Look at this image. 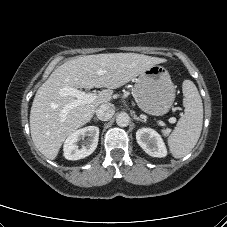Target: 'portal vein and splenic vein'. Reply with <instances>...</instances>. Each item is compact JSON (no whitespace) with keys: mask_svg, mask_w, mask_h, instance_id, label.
<instances>
[{"mask_svg":"<svg viewBox=\"0 0 227 227\" xmlns=\"http://www.w3.org/2000/svg\"><path fill=\"white\" fill-rule=\"evenodd\" d=\"M104 71L103 70H99L98 74L99 75H103ZM59 94L61 96H74L76 97L75 100H73L72 102H70L69 104H67L63 110V113H67L70 109L82 105V104H86V103H91L96 99V94L93 93H85L83 91H80L76 88H72V87H64L60 90ZM168 121L170 123H175L176 122V118L175 117H171L168 119ZM163 121H159V124L163 125Z\"/></svg>","mask_w":227,"mask_h":227,"instance_id":"1","label":"portal vein and splenic vein"}]
</instances>
